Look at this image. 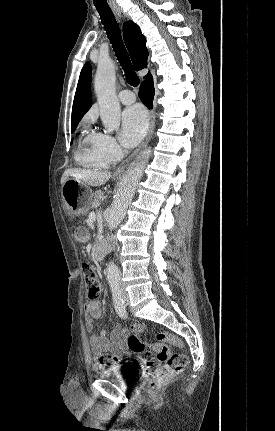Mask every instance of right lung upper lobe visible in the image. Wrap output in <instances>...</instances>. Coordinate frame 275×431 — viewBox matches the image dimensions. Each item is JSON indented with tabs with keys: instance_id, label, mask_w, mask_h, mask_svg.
Masks as SVG:
<instances>
[{
	"instance_id": "cb5924a9",
	"label": "right lung upper lobe",
	"mask_w": 275,
	"mask_h": 431,
	"mask_svg": "<svg viewBox=\"0 0 275 431\" xmlns=\"http://www.w3.org/2000/svg\"><path fill=\"white\" fill-rule=\"evenodd\" d=\"M123 30L124 41L134 68L136 71H139L147 66L148 50L146 48V39L142 35L138 25L131 20L124 23ZM149 75L150 73L144 78ZM91 105V66L89 63H86L81 71L74 97L71 127L78 125Z\"/></svg>"
}]
</instances>
